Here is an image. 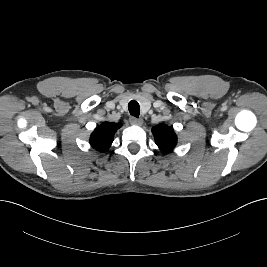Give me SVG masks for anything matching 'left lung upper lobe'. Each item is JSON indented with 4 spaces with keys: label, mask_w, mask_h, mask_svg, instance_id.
<instances>
[{
    "label": "left lung upper lobe",
    "mask_w": 267,
    "mask_h": 267,
    "mask_svg": "<svg viewBox=\"0 0 267 267\" xmlns=\"http://www.w3.org/2000/svg\"><path fill=\"white\" fill-rule=\"evenodd\" d=\"M152 133L157 146L162 152L172 151L177 144V136L174 130L165 124L154 126Z\"/></svg>",
    "instance_id": "1"
}]
</instances>
